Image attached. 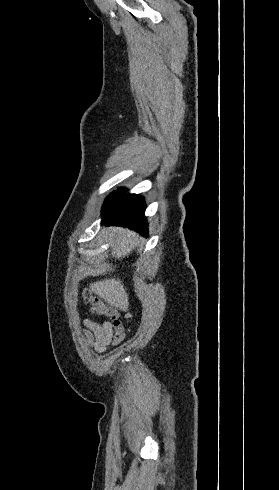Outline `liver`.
<instances>
[{
  "mask_svg": "<svg viewBox=\"0 0 279 490\" xmlns=\"http://www.w3.org/2000/svg\"><path fill=\"white\" fill-rule=\"evenodd\" d=\"M104 232L105 238H108L112 248L111 256L115 260H123L126 256L128 258L132 254V250L138 246L139 240H142L141 236H137L136 232L127 230V228H107ZM89 288L99 298L108 302L110 306H116L120 310L129 308L128 294L121 280L106 278L102 282L90 284Z\"/></svg>",
  "mask_w": 279,
  "mask_h": 490,
  "instance_id": "1",
  "label": "liver"
}]
</instances>
